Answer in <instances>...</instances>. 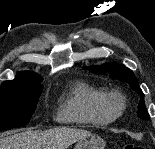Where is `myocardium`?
<instances>
[{
  "label": "myocardium",
  "instance_id": "myocardium-1",
  "mask_svg": "<svg viewBox=\"0 0 155 149\" xmlns=\"http://www.w3.org/2000/svg\"><path fill=\"white\" fill-rule=\"evenodd\" d=\"M115 106L116 108H113ZM99 109L112 120L120 118L126 109L124 96L117 91H106L101 94L99 99Z\"/></svg>",
  "mask_w": 155,
  "mask_h": 149
}]
</instances>
